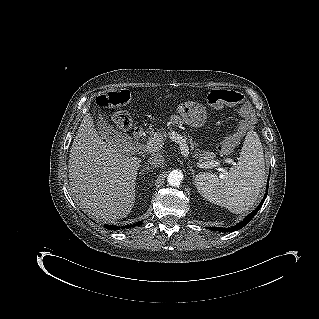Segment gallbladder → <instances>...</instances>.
Segmentation results:
<instances>
[{
  "label": "gallbladder",
  "instance_id": "obj_1",
  "mask_svg": "<svg viewBox=\"0 0 319 319\" xmlns=\"http://www.w3.org/2000/svg\"><path fill=\"white\" fill-rule=\"evenodd\" d=\"M97 128L99 129L100 133L105 135L108 139H119L123 138L124 135L117 130L114 129L112 125L108 123V121L102 116L99 115L97 118Z\"/></svg>",
  "mask_w": 319,
  "mask_h": 319
}]
</instances>
